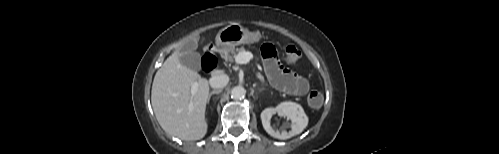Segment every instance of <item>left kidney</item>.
Instances as JSON below:
<instances>
[{"label":"left kidney","mask_w":499,"mask_h":154,"mask_svg":"<svg viewBox=\"0 0 499 154\" xmlns=\"http://www.w3.org/2000/svg\"><path fill=\"white\" fill-rule=\"evenodd\" d=\"M286 116L291 120V130L289 132L283 130L281 132L274 130L271 127L270 120L274 114ZM261 121L265 131L272 137L278 139H288L297 134H300L308 125V117L303 108L291 101L280 103L277 107L266 108L261 112Z\"/></svg>","instance_id":"obj_1"}]
</instances>
